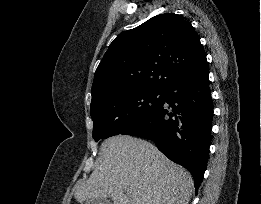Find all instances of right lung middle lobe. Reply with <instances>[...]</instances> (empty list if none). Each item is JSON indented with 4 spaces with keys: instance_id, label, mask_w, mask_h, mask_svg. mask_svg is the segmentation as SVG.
<instances>
[{
    "instance_id": "dd1d6c3e",
    "label": "right lung middle lobe",
    "mask_w": 261,
    "mask_h": 204,
    "mask_svg": "<svg viewBox=\"0 0 261 204\" xmlns=\"http://www.w3.org/2000/svg\"><path fill=\"white\" fill-rule=\"evenodd\" d=\"M161 99L162 91L146 89L123 90L106 96L90 108L94 140L121 134L149 113Z\"/></svg>"
}]
</instances>
